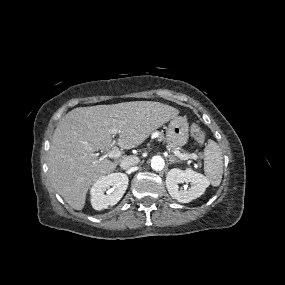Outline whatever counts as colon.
Segmentation results:
<instances>
[{"mask_svg": "<svg viewBox=\"0 0 285 285\" xmlns=\"http://www.w3.org/2000/svg\"><path fill=\"white\" fill-rule=\"evenodd\" d=\"M191 134L199 142H203L205 138L204 130L197 124L191 125Z\"/></svg>", "mask_w": 285, "mask_h": 285, "instance_id": "colon-1", "label": "colon"}]
</instances>
